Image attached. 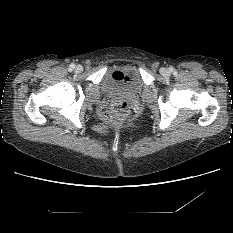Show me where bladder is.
<instances>
[{
    "instance_id": "1",
    "label": "bladder",
    "mask_w": 233,
    "mask_h": 233,
    "mask_svg": "<svg viewBox=\"0 0 233 233\" xmlns=\"http://www.w3.org/2000/svg\"><path fill=\"white\" fill-rule=\"evenodd\" d=\"M142 87L140 71L131 64L107 69L101 81V89L105 95L133 96L140 93Z\"/></svg>"
}]
</instances>
